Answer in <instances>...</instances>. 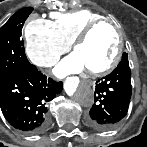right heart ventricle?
I'll return each mask as SVG.
<instances>
[{
  "label": "right heart ventricle",
  "mask_w": 147,
  "mask_h": 147,
  "mask_svg": "<svg viewBox=\"0 0 147 147\" xmlns=\"http://www.w3.org/2000/svg\"><path fill=\"white\" fill-rule=\"evenodd\" d=\"M51 16L55 36L66 44L72 43L78 33L91 22L103 19L100 14L90 9L54 12Z\"/></svg>",
  "instance_id": "obj_1"
}]
</instances>
